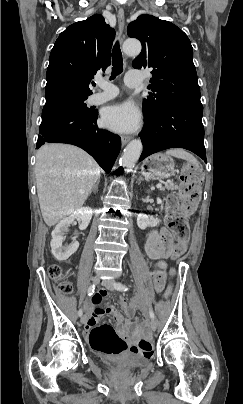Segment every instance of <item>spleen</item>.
Masks as SVG:
<instances>
[{"label": "spleen", "mask_w": 243, "mask_h": 404, "mask_svg": "<svg viewBox=\"0 0 243 404\" xmlns=\"http://www.w3.org/2000/svg\"><path fill=\"white\" fill-rule=\"evenodd\" d=\"M168 156H174V158H181V160H187V162H191L193 166H196L197 160L194 158V156H191V154H188V152H185V150H182V148H172V150H168L166 152Z\"/></svg>", "instance_id": "obj_1"}]
</instances>
